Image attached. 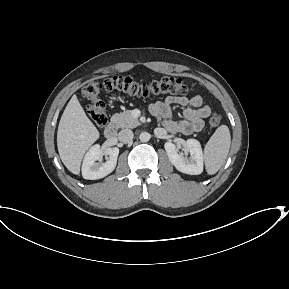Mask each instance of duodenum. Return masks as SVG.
<instances>
[{"mask_svg":"<svg viewBox=\"0 0 289 289\" xmlns=\"http://www.w3.org/2000/svg\"><path fill=\"white\" fill-rule=\"evenodd\" d=\"M117 132L116 125L114 123H109L104 129V135L107 139L112 140Z\"/></svg>","mask_w":289,"mask_h":289,"instance_id":"1","label":"duodenum"}]
</instances>
